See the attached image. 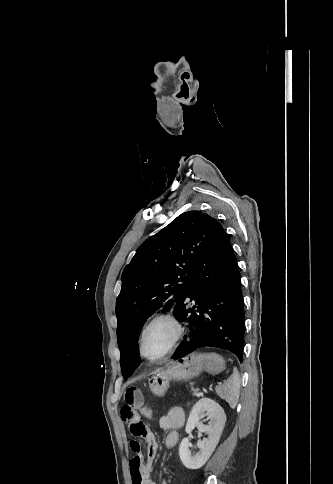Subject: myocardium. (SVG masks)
<instances>
[{
    "mask_svg": "<svg viewBox=\"0 0 333 484\" xmlns=\"http://www.w3.org/2000/svg\"><path fill=\"white\" fill-rule=\"evenodd\" d=\"M159 322H167L168 324H170L174 330V333L170 341L168 342L167 346L164 348V350L159 355L152 357L145 352L144 340L148 330L153 325ZM184 333H185L184 325L177 316H175L172 313L157 314L144 326V328L141 331L140 338H139V353L144 359L148 361H151V362L160 361L164 359L167 355H169L177 347V345L183 338Z\"/></svg>",
    "mask_w": 333,
    "mask_h": 484,
    "instance_id": "obj_1",
    "label": "myocardium"
}]
</instances>
